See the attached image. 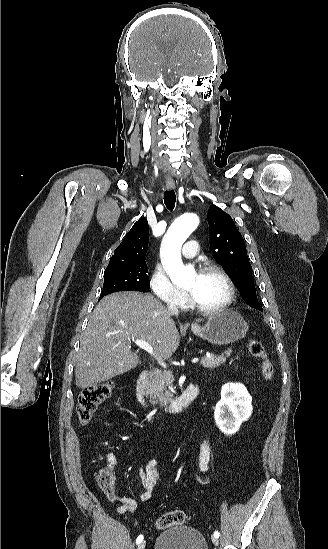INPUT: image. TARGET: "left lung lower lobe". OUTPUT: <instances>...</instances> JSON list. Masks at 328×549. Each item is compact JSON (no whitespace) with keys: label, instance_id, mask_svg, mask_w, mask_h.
Returning a JSON list of instances; mask_svg holds the SVG:
<instances>
[{"label":"left lung lower lobe","instance_id":"1","mask_svg":"<svg viewBox=\"0 0 328 549\" xmlns=\"http://www.w3.org/2000/svg\"><path fill=\"white\" fill-rule=\"evenodd\" d=\"M252 307L255 308V309H257V310L262 311V307H261L260 304L254 305V306H252Z\"/></svg>","mask_w":328,"mask_h":549}]
</instances>
